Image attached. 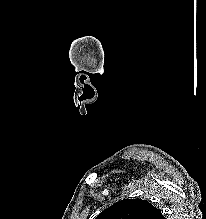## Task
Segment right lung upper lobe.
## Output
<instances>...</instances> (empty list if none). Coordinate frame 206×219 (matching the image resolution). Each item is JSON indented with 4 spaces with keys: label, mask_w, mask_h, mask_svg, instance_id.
<instances>
[{
    "label": "right lung upper lobe",
    "mask_w": 206,
    "mask_h": 219,
    "mask_svg": "<svg viewBox=\"0 0 206 219\" xmlns=\"http://www.w3.org/2000/svg\"><path fill=\"white\" fill-rule=\"evenodd\" d=\"M95 219H165V217L146 200L123 199L102 211Z\"/></svg>",
    "instance_id": "right-lung-upper-lobe-1"
}]
</instances>
